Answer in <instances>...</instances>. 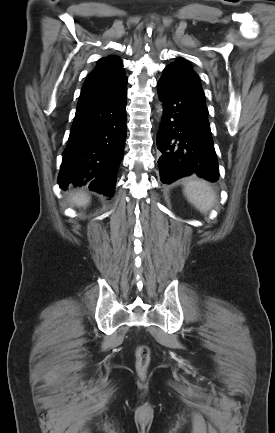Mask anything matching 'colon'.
<instances>
[{
    "label": "colon",
    "instance_id": "obj_1",
    "mask_svg": "<svg viewBox=\"0 0 275 433\" xmlns=\"http://www.w3.org/2000/svg\"><path fill=\"white\" fill-rule=\"evenodd\" d=\"M136 371L139 376L146 375L150 365V351L146 345H139L135 351Z\"/></svg>",
    "mask_w": 275,
    "mask_h": 433
}]
</instances>
